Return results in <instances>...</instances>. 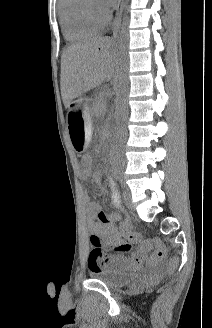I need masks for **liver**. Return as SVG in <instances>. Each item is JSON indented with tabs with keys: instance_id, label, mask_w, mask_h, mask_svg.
Here are the masks:
<instances>
[{
	"instance_id": "1",
	"label": "liver",
	"mask_w": 212,
	"mask_h": 328,
	"mask_svg": "<svg viewBox=\"0 0 212 328\" xmlns=\"http://www.w3.org/2000/svg\"><path fill=\"white\" fill-rule=\"evenodd\" d=\"M112 47L110 38L95 37L64 51L61 58V94L65 105L111 78Z\"/></svg>"
}]
</instances>
